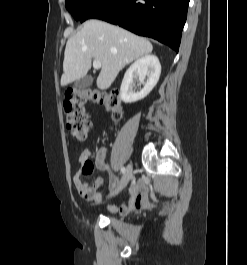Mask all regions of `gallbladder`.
<instances>
[{
    "label": "gallbladder",
    "instance_id": "bac80fb5",
    "mask_svg": "<svg viewBox=\"0 0 247 265\" xmlns=\"http://www.w3.org/2000/svg\"><path fill=\"white\" fill-rule=\"evenodd\" d=\"M92 77L91 76H84L81 79L75 81L74 86L79 89L88 88L92 84Z\"/></svg>",
    "mask_w": 247,
    "mask_h": 265
}]
</instances>
